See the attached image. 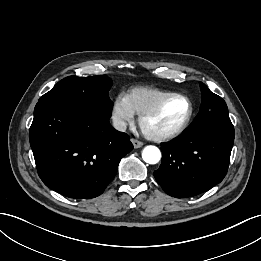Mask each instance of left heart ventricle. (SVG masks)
I'll use <instances>...</instances> for the list:
<instances>
[{
	"mask_svg": "<svg viewBox=\"0 0 261 261\" xmlns=\"http://www.w3.org/2000/svg\"><path fill=\"white\" fill-rule=\"evenodd\" d=\"M188 104L182 99L170 100L162 110L146 122V127L151 131H166L177 126L186 116Z\"/></svg>",
	"mask_w": 261,
	"mask_h": 261,
	"instance_id": "b2bd125f",
	"label": "left heart ventricle"
}]
</instances>
